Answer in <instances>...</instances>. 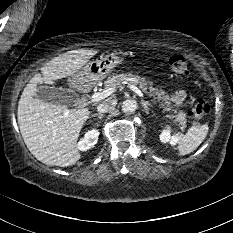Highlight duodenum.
Listing matches in <instances>:
<instances>
[{
	"mask_svg": "<svg viewBox=\"0 0 233 233\" xmlns=\"http://www.w3.org/2000/svg\"><path fill=\"white\" fill-rule=\"evenodd\" d=\"M80 93H88L89 92V87L88 86H83L79 89Z\"/></svg>",
	"mask_w": 233,
	"mask_h": 233,
	"instance_id": "410a0bca",
	"label": "duodenum"
}]
</instances>
